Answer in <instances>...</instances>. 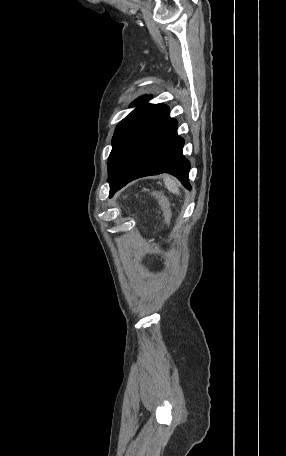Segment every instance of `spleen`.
Segmentation results:
<instances>
[{"instance_id": "1", "label": "spleen", "mask_w": 286, "mask_h": 456, "mask_svg": "<svg viewBox=\"0 0 286 456\" xmlns=\"http://www.w3.org/2000/svg\"><path fill=\"white\" fill-rule=\"evenodd\" d=\"M163 180H164V184L166 186V188L173 194H176V195H179L180 194V190H179V183L178 181L169 176V175H165L163 177Z\"/></svg>"}]
</instances>
